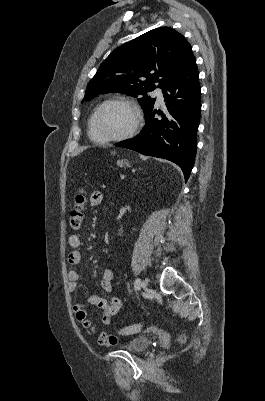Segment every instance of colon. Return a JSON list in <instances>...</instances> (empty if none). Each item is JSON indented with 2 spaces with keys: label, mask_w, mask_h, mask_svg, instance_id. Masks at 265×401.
Returning a JSON list of instances; mask_svg holds the SVG:
<instances>
[{
  "label": "colon",
  "mask_w": 265,
  "mask_h": 401,
  "mask_svg": "<svg viewBox=\"0 0 265 401\" xmlns=\"http://www.w3.org/2000/svg\"><path fill=\"white\" fill-rule=\"evenodd\" d=\"M85 202H86L85 192L81 189L79 190V192L75 197V206L72 209L69 216V224L73 230H78L82 225ZM141 329H142L141 323H136L134 325L119 329L117 333L119 335H131L141 331ZM183 340L184 337L183 336L180 337V341Z\"/></svg>",
  "instance_id": "colon-1"
}]
</instances>
